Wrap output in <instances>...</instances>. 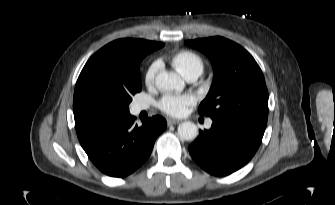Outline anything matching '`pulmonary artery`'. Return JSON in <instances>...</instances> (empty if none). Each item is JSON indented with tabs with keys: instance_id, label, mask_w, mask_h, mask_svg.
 Returning <instances> with one entry per match:
<instances>
[{
	"instance_id": "obj_1",
	"label": "pulmonary artery",
	"mask_w": 335,
	"mask_h": 205,
	"mask_svg": "<svg viewBox=\"0 0 335 205\" xmlns=\"http://www.w3.org/2000/svg\"><path fill=\"white\" fill-rule=\"evenodd\" d=\"M198 76H199V75H197V74H192V75L187 76L186 78H187L189 81H195V80L198 78ZM146 108H147V106L144 105V104H142V103H138V104L135 105V110H136L137 112H140V111H142V110H145ZM210 125H211V122H208V126H210Z\"/></svg>"
}]
</instances>
